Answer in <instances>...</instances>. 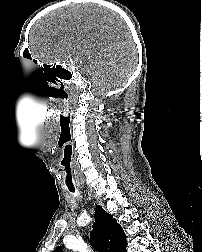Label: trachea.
I'll return each instance as SVG.
<instances>
[{
    "label": "trachea",
    "instance_id": "obj_1",
    "mask_svg": "<svg viewBox=\"0 0 202 252\" xmlns=\"http://www.w3.org/2000/svg\"><path fill=\"white\" fill-rule=\"evenodd\" d=\"M69 190H70L71 192H74V191H75L74 187H69Z\"/></svg>",
    "mask_w": 202,
    "mask_h": 252
}]
</instances>
